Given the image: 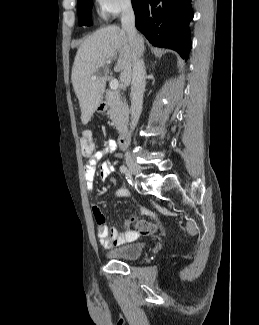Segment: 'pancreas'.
Here are the masks:
<instances>
[{"label":"pancreas","mask_w":259,"mask_h":325,"mask_svg":"<svg viewBox=\"0 0 259 325\" xmlns=\"http://www.w3.org/2000/svg\"><path fill=\"white\" fill-rule=\"evenodd\" d=\"M107 104L109 107L107 114L110 116L117 131L119 133L125 132L129 119V110L126 102L118 92L111 91L107 97Z\"/></svg>","instance_id":"1"}]
</instances>
